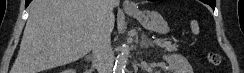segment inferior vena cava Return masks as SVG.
Returning a JSON list of instances; mask_svg holds the SVG:
<instances>
[{"label":"inferior vena cava","mask_w":244,"mask_h":73,"mask_svg":"<svg viewBox=\"0 0 244 73\" xmlns=\"http://www.w3.org/2000/svg\"><path fill=\"white\" fill-rule=\"evenodd\" d=\"M104 13L113 11V7L117 5L115 0H103ZM111 31L106 23H103L97 35L94 38L92 51L93 63L98 73H112L113 68V52L110 44Z\"/></svg>","instance_id":"inferior-vena-cava-1"}]
</instances>
